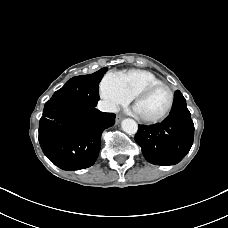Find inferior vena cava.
Masks as SVG:
<instances>
[{"label":"inferior vena cava","mask_w":228,"mask_h":228,"mask_svg":"<svg viewBox=\"0 0 228 228\" xmlns=\"http://www.w3.org/2000/svg\"><path fill=\"white\" fill-rule=\"evenodd\" d=\"M97 108L102 112L116 113L118 111L117 107L114 103H111V102L105 101V100L99 101Z\"/></svg>","instance_id":"obj_1"}]
</instances>
